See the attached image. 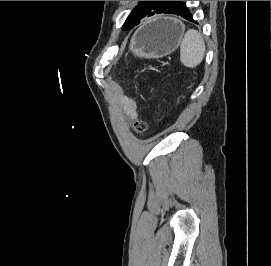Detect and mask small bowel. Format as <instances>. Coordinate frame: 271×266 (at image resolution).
<instances>
[{"label": "small bowel", "mask_w": 271, "mask_h": 266, "mask_svg": "<svg viewBox=\"0 0 271 266\" xmlns=\"http://www.w3.org/2000/svg\"><path fill=\"white\" fill-rule=\"evenodd\" d=\"M123 106L126 111V113L133 119L136 118V106L135 103L132 100L124 99L123 100Z\"/></svg>", "instance_id": "obj_1"}]
</instances>
